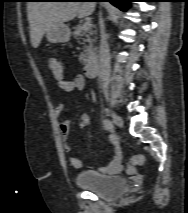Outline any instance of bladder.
<instances>
[{"instance_id":"bladder-1","label":"bladder","mask_w":188,"mask_h":213,"mask_svg":"<svg viewBox=\"0 0 188 213\" xmlns=\"http://www.w3.org/2000/svg\"><path fill=\"white\" fill-rule=\"evenodd\" d=\"M74 181L78 187L93 192L106 200L122 195L128 186L127 180L121 176L104 175L97 171L80 172Z\"/></svg>"}]
</instances>
